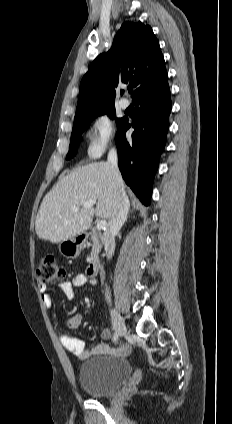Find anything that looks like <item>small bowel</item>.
Returning <instances> with one entry per match:
<instances>
[{"instance_id":"c3829d8e","label":"small bowel","mask_w":232,"mask_h":424,"mask_svg":"<svg viewBox=\"0 0 232 424\" xmlns=\"http://www.w3.org/2000/svg\"><path fill=\"white\" fill-rule=\"evenodd\" d=\"M95 283V279L88 273H79L71 280L60 283L59 288L66 298L72 299L75 295L76 288L82 287L86 284L95 285ZM38 289L41 292V300L44 307L48 309L51 308L52 298L45 292L46 287L40 284ZM82 320L83 315L81 313H74L66 318L65 325L68 330H76L81 325ZM111 336L112 332L108 328L103 329L100 333V338L102 340H109ZM59 338L64 349L80 360H86L93 355L125 357L131 352V347L127 344H123L119 347H110L104 343H99L91 347H86L84 341L63 331L59 332Z\"/></svg>"}]
</instances>
